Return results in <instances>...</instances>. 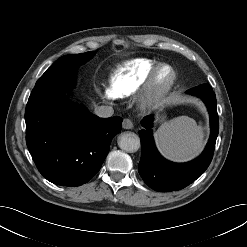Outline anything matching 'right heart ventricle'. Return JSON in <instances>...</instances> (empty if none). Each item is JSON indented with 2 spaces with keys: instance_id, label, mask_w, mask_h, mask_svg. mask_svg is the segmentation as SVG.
Segmentation results:
<instances>
[{
  "instance_id": "right-heart-ventricle-1",
  "label": "right heart ventricle",
  "mask_w": 247,
  "mask_h": 247,
  "mask_svg": "<svg viewBox=\"0 0 247 247\" xmlns=\"http://www.w3.org/2000/svg\"><path fill=\"white\" fill-rule=\"evenodd\" d=\"M158 64L155 60L147 58H135L126 61L116 70L111 79L113 93L117 97H127L134 94Z\"/></svg>"
}]
</instances>
